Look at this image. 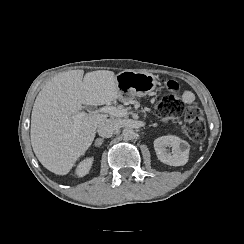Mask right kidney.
<instances>
[{"label": "right kidney", "instance_id": "1", "mask_svg": "<svg viewBox=\"0 0 244 244\" xmlns=\"http://www.w3.org/2000/svg\"><path fill=\"white\" fill-rule=\"evenodd\" d=\"M93 160L94 158L93 157H89V158H86L84 159L83 161H81L76 170H75V174L78 176V177H83L85 176L86 174L89 173L90 169H91V166H92V163H93Z\"/></svg>", "mask_w": 244, "mask_h": 244}]
</instances>
